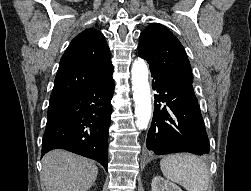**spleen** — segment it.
<instances>
[{"mask_svg":"<svg viewBox=\"0 0 251 191\" xmlns=\"http://www.w3.org/2000/svg\"><path fill=\"white\" fill-rule=\"evenodd\" d=\"M163 175L183 185L187 191H207L210 175L208 167L197 155L174 153L165 155L160 161Z\"/></svg>","mask_w":251,"mask_h":191,"instance_id":"obj_1","label":"spleen"}]
</instances>
